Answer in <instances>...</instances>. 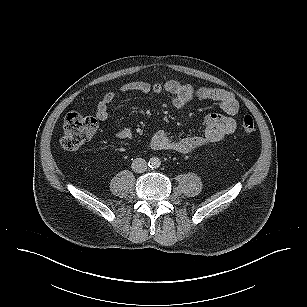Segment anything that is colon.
<instances>
[{"mask_svg": "<svg viewBox=\"0 0 307 307\" xmlns=\"http://www.w3.org/2000/svg\"><path fill=\"white\" fill-rule=\"evenodd\" d=\"M241 128L246 134L256 130V124L252 116L246 115ZM97 129L96 118L78 112L69 113L64 121L62 132V145L67 150H74L89 141Z\"/></svg>", "mask_w": 307, "mask_h": 307, "instance_id": "colon-1", "label": "colon"}]
</instances>
